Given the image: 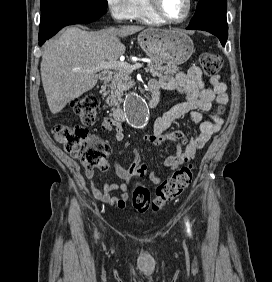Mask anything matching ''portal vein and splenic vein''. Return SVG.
Masks as SVG:
<instances>
[{
	"label": "portal vein and splenic vein",
	"instance_id": "1",
	"mask_svg": "<svg viewBox=\"0 0 272 282\" xmlns=\"http://www.w3.org/2000/svg\"><path fill=\"white\" fill-rule=\"evenodd\" d=\"M143 66H144L143 63H135L133 65H130L126 62H120V61H101L99 62L98 66L95 69L96 70H101V69L126 70L131 73L136 69L142 68Z\"/></svg>",
	"mask_w": 272,
	"mask_h": 282
}]
</instances>
